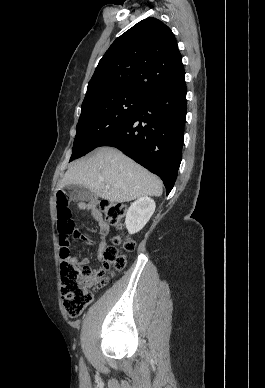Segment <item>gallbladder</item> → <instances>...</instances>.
<instances>
[{"instance_id": "bac80fb5", "label": "gallbladder", "mask_w": 265, "mask_h": 388, "mask_svg": "<svg viewBox=\"0 0 265 388\" xmlns=\"http://www.w3.org/2000/svg\"><path fill=\"white\" fill-rule=\"evenodd\" d=\"M65 190L71 198V200H76V202H88V200H92L95 198V194H92L88 188L85 186H80V184H69V186H65Z\"/></svg>"}]
</instances>
